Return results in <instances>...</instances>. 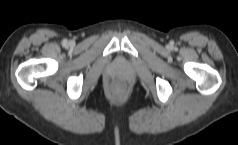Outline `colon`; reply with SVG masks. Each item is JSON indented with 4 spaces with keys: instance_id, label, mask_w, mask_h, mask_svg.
<instances>
[{
    "instance_id": "1",
    "label": "colon",
    "mask_w": 238,
    "mask_h": 145,
    "mask_svg": "<svg viewBox=\"0 0 238 145\" xmlns=\"http://www.w3.org/2000/svg\"><path fill=\"white\" fill-rule=\"evenodd\" d=\"M126 89H127V86L119 79H116L113 82V90L115 93L117 94L123 93Z\"/></svg>"
}]
</instances>
